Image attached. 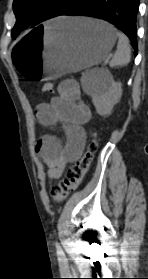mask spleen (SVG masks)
Listing matches in <instances>:
<instances>
[{
  "instance_id": "3e777b00",
  "label": "spleen",
  "mask_w": 148,
  "mask_h": 279,
  "mask_svg": "<svg viewBox=\"0 0 148 279\" xmlns=\"http://www.w3.org/2000/svg\"><path fill=\"white\" fill-rule=\"evenodd\" d=\"M119 37L117 50L110 61L111 67L125 66L130 62L131 59V49L128 38L123 33L117 32ZM98 70H93L81 79L83 88L90 94L98 93L101 90L100 76L97 77Z\"/></svg>"
}]
</instances>
